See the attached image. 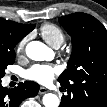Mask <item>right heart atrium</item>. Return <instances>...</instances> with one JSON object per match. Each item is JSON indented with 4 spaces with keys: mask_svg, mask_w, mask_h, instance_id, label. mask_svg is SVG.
I'll list each match as a JSON object with an SVG mask.
<instances>
[{
    "mask_svg": "<svg viewBox=\"0 0 107 107\" xmlns=\"http://www.w3.org/2000/svg\"><path fill=\"white\" fill-rule=\"evenodd\" d=\"M28 39H29V36H26L18 43L17 48H16L17 53L24 52Z\"/></svg>",
    "mask_w": 107,
    "mask_h": 107,
    "instance_id": "d8ad5b80",
    "label": "right heart atrium"
}]
</instances>
